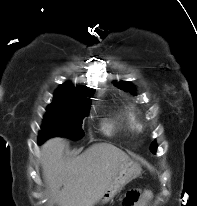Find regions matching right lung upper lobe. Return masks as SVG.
<instances>
[{"label": "right lung upper lobe", "instance_id": "right-lung-upper-lobe-1", "mask_svg": "<svg viewBox=\"0 0 197 206\" xmlns=\"http://www.w3.org/2000/svg\"><path fill=\"white\" fill-rule=\"evenodd\" d=\"M92 93L93 91L78 90V89H75L71 83H65L57 89L55 95H58V96L69 95V96H77L81 98H86Z\"/></svg>", "mask_w": 197, "mask_h": 206}]
</instances>
